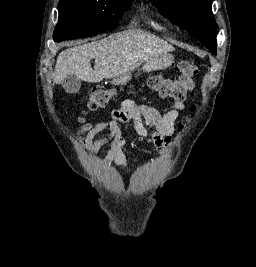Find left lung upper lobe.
<instances>
[{"label":"left lung upper lobe","mask_w":256,"mask_h":267,"mask_svg":"<svg viewBox=\"0 0 256 267\" xmlns=\"http://www.w3.org/2000/svg\"><path fill=\"white\" fill-rule=\"evenodd\" d=\"M161 14L216 54V24L210 0H151Z\"/></svg>","instance_id":"left-lung-upper-lobe-1"}]
</instances>
